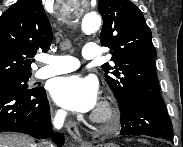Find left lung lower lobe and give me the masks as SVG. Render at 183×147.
Here are the masks:
<instances>
[{
	"label": "left lung lower lobe",
	"instance_id": "1",
	"mask_svg": "<svg viewBox=\"0 0 183 147\" xmlns=\"http://www.w3.org/2000/svg\"><path fill=\"white\" fill-rule=\"evenodd\" d=\"M121 111V134L173 139L172 123L161 98L136 96Z\"/></svg>",
	"mask_w": 183,
	"mask_h": 147
}]
</instances>
